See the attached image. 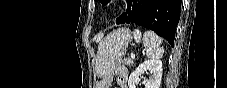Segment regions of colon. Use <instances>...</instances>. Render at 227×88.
I'll return each mask as SVG.
<instances>
[{
	"instance_id": "5ec220e1",
	"label": "colon",
	"mask_w": 227,
	"mask_h": 88,
	"mask_svg": "<svg viewBox=\"0 0 227 88\" xmlns=\"http://www.w3.org/2000/svg\"><path fill=\"white\" fill-rule=\"evenodd\" d=\"M101 88H105L104 85H102Z\"/></svg>"
}]
</instances>
